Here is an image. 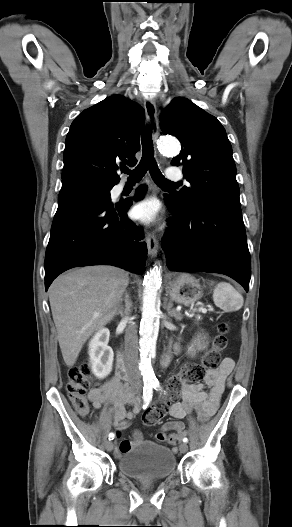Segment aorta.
I'll use <instances>...</instances> for the list:
<instances>
[{
  "instance_id": "762f6f07",
  "label": "aorta",
  "mask_w": 292,
  "mask_h": 527,
  "mask_svg": "<svg viewBox=\"0 0 292 527\" xmlns=\"http://www.w3.org/2000/svg\"><path fill=\"white\" fill-rule=\"evenodd\" d=\"M159 150L168 155L180 152L179 142L172 137H163L158 143ZM160 270L154 268L144 277L142 319L140 322V359L139 369L143 379L148 384H153L156 377L151 365V359L156 353V342L159 332L160 306L158 290L160 288Z\"/></svg>"
}]
</instances>
